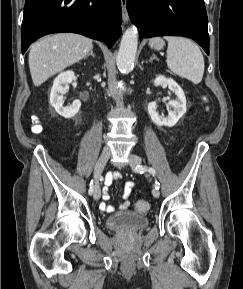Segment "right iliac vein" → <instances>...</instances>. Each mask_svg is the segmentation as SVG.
Instances as JSON below:
<instances>
[{
    "instance_id": "obj_1",
    "label": "right iliac vein",
    "mask_w": 243,
    "mask_h": 289,
    "mask_svg": "<svg viewBox=\"0 0 243 289\" xmlns=\"http://www.w3.org/2000/svg\"><path fill=\"white\" fill-rule=\"evenodd\" d=\"M110 158V152L105 150L101 153L94 169V178H95V184H94V190H93V198L95 200H99L101 197V189L99 185V178L103 172V169L105 165L107 164V161Z\"/></svg>"
}]
</instances>
